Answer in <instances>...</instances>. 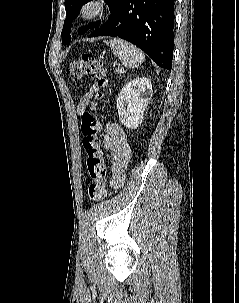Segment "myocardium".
Here are the masks:
<instances>
[{"label":"myocardium","mask_w":239,"mask_h":303,"mask_svg":"<svg viewBox=\"0 0 239 303\" xmlns=\"http://www.w3.org/2000/svg\"><path fill=\"white\" fill-rule=\"evenodd\" d=\"M109 9L108 0H85L79 7L78 17L83 21H92L105 15Z\"/></svg>","instance_id":"obj_1"}]
</instances>
